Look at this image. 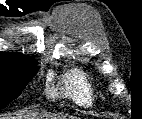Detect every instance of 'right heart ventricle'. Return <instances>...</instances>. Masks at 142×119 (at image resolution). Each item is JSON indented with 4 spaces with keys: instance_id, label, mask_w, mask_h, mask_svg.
<instances>
[{
    "instance_id": "1",
    "label": "right heart ventricle",
    "mask_w": 142,
    "mask_h": 119,
    "mask_svg": "<svg viewBox=\"0 0 142 119\" xmlns=\"http://www.w3.org/2000/svg\"><path fill=\"white\" fill-rule=\"evenodd\" d=\"M49 94L51 96L62 94L84 107L92 106L95 101L93 84L82 71L77 69L67 71L63 76L61 88L50 89Z\"/></svg>"
}]
</instances>
